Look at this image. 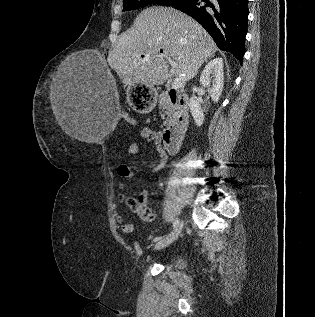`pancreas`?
<instances>
[{
    "label": "pancreas",
    "instance_id": "cf45deb5",
    "mask_svg": "<svg viewBox=\"0 0 315 317\" xmlns=\"http://www.w3.org/2000/svg\"><path fill=\"white\" fill-rule=\"evenodd\" d=\"M159 107L160 108H163L165 105H168L169 104V95H168V92H163L161 95H160V100H159ZM171 114H172V111L169 109L167 111H165L164 114H162V118L164 119L165 116L167 117L166 120H165V124H167L169 122V117H171Z\"/></svg>",
    "mask_w": 315,
    "mask_h": 317
}]
</instances>
